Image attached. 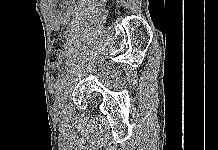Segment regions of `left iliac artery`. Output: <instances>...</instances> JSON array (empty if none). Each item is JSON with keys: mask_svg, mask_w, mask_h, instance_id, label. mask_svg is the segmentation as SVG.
<instances>
[{"mask_svg": "<svg viewBox=\"0 0 218 150\" xmlns=\"http://www.w3.org/2000/svg\"><path fill=\"white\" fill-rule=\"evenodd\" d=\"M65 76L68 74L66 71L63 73ZM65 76H62L57 82H56V85L54 87V91H55V94H59L61 92V89L62 87L64 86V83H65Z\"/></svg>", "mask_w": 218, "mask_h": 150, "instance_id": "44dca946", "label": "left iliac artery"}]
</instances>
